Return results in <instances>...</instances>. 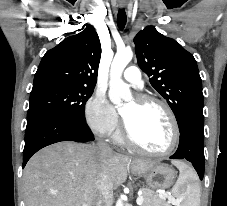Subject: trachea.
Segmentation results:
<instances>
[{
	"instance_id": "trachea-1",
	"label": "trachea",
	"mask_w": 227,
	"mask_h": 206,
	"mask_svg": "<svg viewBox=\"0 0 227 206\" xmlns=\"http://www.w3.org/2000/svg\"><path fill=\"white\" fill-rule=\"evenodd\" d=\"M127 21L126 12L124 9H119L117 15V25L120 30H123Z\"/></svg>"
}]
</instances>
